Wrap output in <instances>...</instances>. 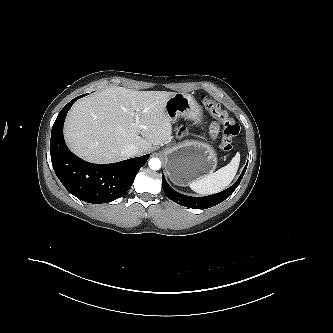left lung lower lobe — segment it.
<instances>
[{
    "instance_id": "left-lung-lower-lobe-1",
    "label": "left lung lower lobe",
    "mask_w": 333,
    "mask_h": 333,
    "mask_svg": "<svg viewBox=\"0 0 333 333\" xmlns=\"http://www.w3.org/2000/svg\"><path fill=\"white\" fill-rule=\"evenodd\" d=\"M247 165L244 167L241 175L239 176L238 180L228 189L209 196L205 197H191L186 196L183 194H180L173 190L167 183L164 175L162 174V184H163V191L167 195L168 198H170L172 201L178 203L179 205L194 208V209H207L210 207H213L221 202H223L225 199H227L238 187L240 184L244 173L246 171Z\"/></svg>"
}]
</instances>
